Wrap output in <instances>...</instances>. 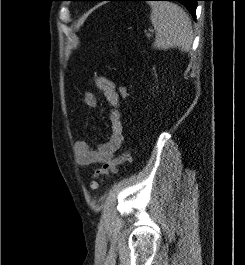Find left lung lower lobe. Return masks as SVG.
Returning <instances> with one entry per match:
<instances>
[{"label": "left lung lower lobe", "mask_w": 245, "mask_h": 265, "mask_svg": "<svg viewBox=\"0 0 245 265\" xmlns=\"http://www.w3.org/2000/svg\"><path fill=\"white\" fill-rule=\"evenodd\" d=\"M83 1H151V0H83ZM166 1H178L185 5L187 9L191 12L193 18L195 19L197 1L201 0H166Z\"/></svg>", "instance_id": "1"}]
</instances>
